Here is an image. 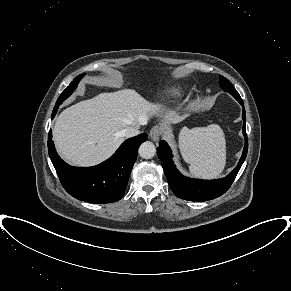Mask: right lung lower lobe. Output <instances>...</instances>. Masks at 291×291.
I'll return each instance as SVG.
<instances>
[{
    "label": "right lung lower lobe",
    "instance_id": "obj_1",
    "mask_svg": "<svg viewBox=\"0 0 291 291\" xmlns=\"http://www.w3.org/2000/svg\"><path fill=\"white\" fill-rule=\"evenodd\" d=\"M146 140L147 134L142 133L126 140L113 156L99 165L73 167L58 156L50 130L48 153L63 188L71 196L89 203L106 204L123 197L138 148Z\"/></svg>",
    "mask_w": 291,
    "mask_h": 291
}]
</instances>
